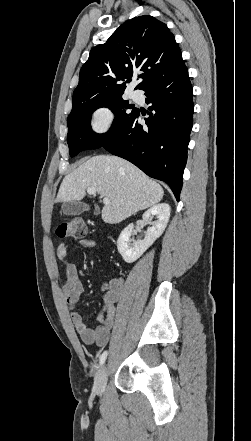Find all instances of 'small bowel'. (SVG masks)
Returning a JSON list of instances; mask_svg holds the SVG:
<instances>
[{
  "instance_id": "obj_1",
  "label": "small bowel",
  "mask_w": 251,
  "mask_h": 441,
  "mask_svg": "<svg viewBox=\"0 0 251 441\" xmlns=\"http://www.w3.org/2000/svg\"><path fill=\"white\" fill-rule=\"evenodd\" d=\"M86 249H92L96 243L92 239L80 241ZM57 256L65 267V278L62 283V293L66 304L70 309V317L75 331L82 342L86 345L104 346L109 341L116 323V304L123 289V280L113 278L106 281L102 286V307L97 314L99 325L88 327L79 311L76 309L80 295L84 287L77 266L67 260L68 248L65 244L57 247Z\"/></svg>"
}]
</instances>
